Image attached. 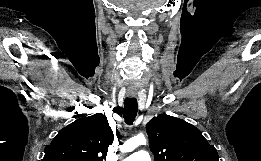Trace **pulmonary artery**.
<instances>
[{
    "instance_id": "pulmonary-artery-1",
    "label": "pulmonary artery",
    "mask_w": 261,
    "mask_h": 161,
    "mask_svg": "<svg viewBox=\"0 0 261 161\" xmlns=\"http://www.w3.org/2000/svg\"><path fill=\"white\" fill-rule=\"evenodd\" d=\"M123 161H151V157L147 150L141 149L130 154Z\"/></svg>"
}]
</instances>
